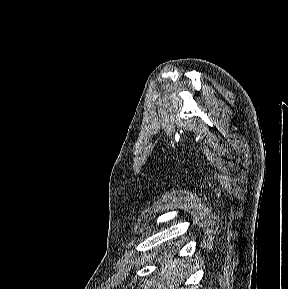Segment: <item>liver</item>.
<instances>
[{
    "mask_svg": "<svg viewBox=\"0 0 288 289\" xmlns=\"http://www.w3.org/2000/svg\"><path fill=\"white\" fill-rule=\"evenodd\" d=\"M158 261L160 263V275L162 279L176 283L187 276V271L184 270L185 264L183 260H172L171 254H165L164 257H160Z\"/></svg>",
    "mask_w": 288,
    "mask_h": 289,
    "instance_id": "liver-1",
    "label": "liver"
}]
</instances>
